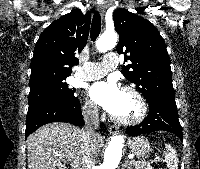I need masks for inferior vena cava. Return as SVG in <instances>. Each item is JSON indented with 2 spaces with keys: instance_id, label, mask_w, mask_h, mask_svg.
I'll use <instances>...</instances> for the list:
<instances>
[{
  "instance_id": "obj_1",
  "label": "inferior vena cava",
  "mask_w": 200,
  "mask_h": 169,
  "mask_svg": "<svg viewBox=\"0 0 200 169\" xmlns=\"http://www.w3.org/2000/svg\"><path fill=\"white\" fill-rule=\"evenodd\" d=\"M85 128L82 130L83 156L80 169H92L95 165L93 137L97 135L95 130L99 126L98 107L94 104L83 109Z\"/></svg>"
}]
</instances>
